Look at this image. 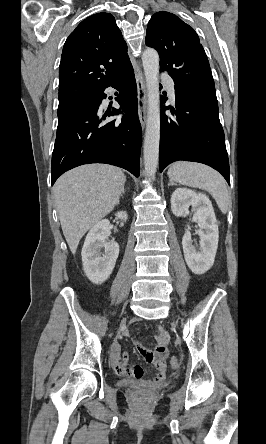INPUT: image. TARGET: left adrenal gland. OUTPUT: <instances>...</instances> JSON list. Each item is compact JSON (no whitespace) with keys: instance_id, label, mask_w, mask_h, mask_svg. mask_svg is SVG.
<instances>
[{"instance_id":"a2214340","label":"left adrenal gland","mask_w":266,"mask_h":444,"mask_svg":"<svg viewBox=\"0 0 266 444\" xmlns=\"http://www.w3.org/2000/svg\"><path fill=\"white\" fill-rule=\"evenodd\" d=\"M173 185H176V184L172 180H170L168 186H173Z\"/></svg>"}]
</instances>
